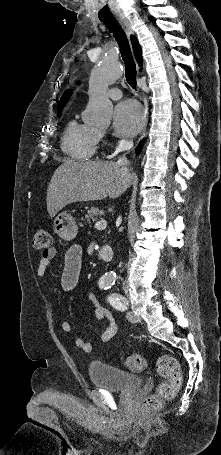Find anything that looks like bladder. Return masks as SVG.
Instances as JSON below:
<instances>
[{"mask_svg": "<svg viewBox=\"0 0 221 455\" xmlns=\"http://www.w3.org/2000/svg\"><path fill=\"white\" fill-rule=\"evenodd\" d=\"M88 372L95 386L110 391L129 392L138 390L144 383L140 376L103 363L91 362L88 366Z\"/></svg>", "mask_w": 221, "mask_h": 455, "instance_id": "1", "label": "bladder"}]
</instances>
